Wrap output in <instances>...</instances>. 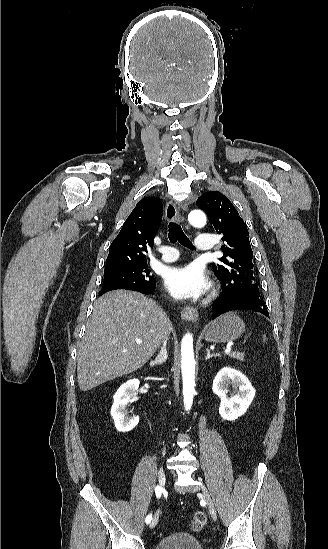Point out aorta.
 I'll use <instances>...</instances> for the list:
<instances>
[{
	"instance_id": "obj_1",
	"label": "aorta",
	"mask_w": 328,
	"mask_h": 549,
	"mask_svg": "<svg viewBox=\"0 0 328 549\" xmlns=\"http://www.w3.org/2000/svg\"><path fill=\"white\" fill-rule=\"evenodd\" d=\"M188 220L194 227H203L206 224V216L200 210H193L188 215ZM181 371L183 379V401L186 410H190L195 393V359L193 352V336L186 334L181 342Z\"/></svg>"
}]
</instances>
